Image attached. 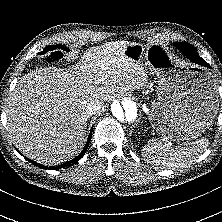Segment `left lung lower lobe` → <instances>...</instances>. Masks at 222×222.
<instances>
[{
    "mask_svg": "<svg viewBox=\"0 0 222 222\" xmlns=\"http://www.w3.org/2000/svg\"><path fill=\"white\" fill-rule=\"evenodd\" d=\"M186 57H188L191 61L199 64V65H202V66H205V67H209V64L206 62V61H201L200 59L196 58L195 56L193 55H187Z\"/></svg>",
    "mask_w": 222,
    "mask_h": 222,
    "instance_id": "1",
    "label": "left lung lower lobe"
}]
</instances>
